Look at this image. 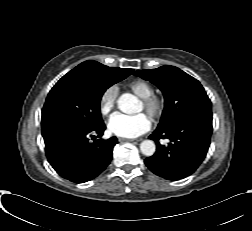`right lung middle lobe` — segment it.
I'll return each mask as SVG.
<instances>
[{"label":"right lung middle lobe","instance_id":"1","mask_svg":"<svg viewBox=\"0 0 252 231\" xmlns=\"http://www.w3.org/2000/svg\"><path fill=\"white\" fill-rule=\"evenodd\" d=\"M130 73L88 60L64 75L49 92L42 109L45 138L63 129L91 130L103 124L100 100L106 89Z\"/></svg>","mask_w":252,"mask_h":231}]
</instances>
